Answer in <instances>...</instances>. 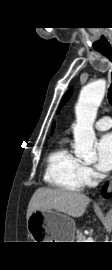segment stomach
Segmentation results:
<instances>
[{
    "mask_svg": "<svg viewBox=\"0 0 112 270\" xmlns=\"http://www.w3.org/2000/svg\"><path fill=\"white\" fill-rule=\"evenodd\" d=\"M27 230L34 242H74L76 225L65 214L41 209L27 219Z\"/></svg>",
    "mask_w": 112,
    "mask_h": 270,
    "instance_id": "obj_1",
    "label": "stomach"
}]
</instances>
